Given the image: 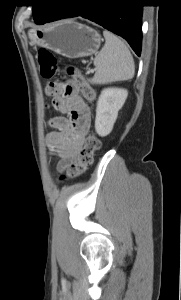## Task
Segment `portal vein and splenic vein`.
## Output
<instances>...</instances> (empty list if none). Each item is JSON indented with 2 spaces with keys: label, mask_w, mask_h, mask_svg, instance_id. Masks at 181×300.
<instances>
[{
  "label": "portal vein and splenic vein",
  "mask_w": 181,
  "mask_h": 300,
  "mask_svg": "<svg viewBox=\"0 0 181 300\" xmlns=\"http://www.w3.org/2000/svg\"><path fill=\"white\" fill-rule=\"evenodd\" d=\"M94 69H90L88 72H87V74H90V73H94Z\"/></svg>",
  "instance_id": "1"
}]
</instances>
